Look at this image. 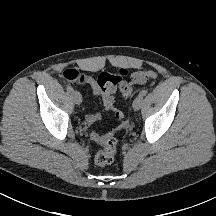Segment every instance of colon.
<instances>
[{"label": "colon", "mask_w": 216, "mask_h": 216, "mask_svg": "<svg viewBox=\"0 0 216 216\" xmlns=\"http://www.w3.org/2000/svg\"><path fill=\"white\" fill-rule=\"evenodd\" d=\"M124 70L117 73L103 72L97 79V84L103 94V102L110 110H113L118 119L123 118L120 110L114 108V93L120 90L124 97H129L136 85L144 84L157 77L154 69L134 73L128 81H124L126 76ZM81 74L75 69H67L63 72V77L69 81H77ZM117 150V140L112 136L105 139L102 148L95 155V163L99 166H106L113 162Z\"/></svg>", "instance_id": "colon-1"}]
</instances>
